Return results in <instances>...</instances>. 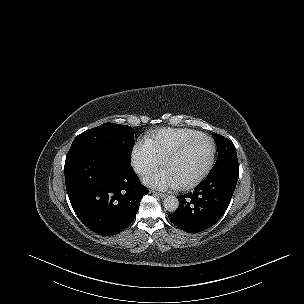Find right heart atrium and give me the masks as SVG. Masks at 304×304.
Segmentation results:
<instances>
[{"label": "right heart atrium", "instance_id": "obj_1", "mask_svg": "<svg viewBox=\"0 0 304 304\" xmlns=\"http://www.w3.org/2000/svg\"><path fill=\"white\" fill-rule=\"evenodd\" d=\"M133 167L142 174L156 170L159 167V159L152 153L147 143L138 142L131 155Z\"/></svg>", "mask_w": 304, "mask_h": 304}]
</instances>
